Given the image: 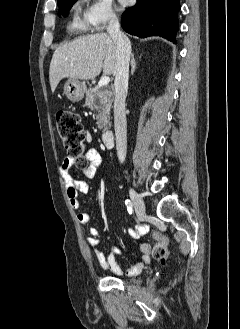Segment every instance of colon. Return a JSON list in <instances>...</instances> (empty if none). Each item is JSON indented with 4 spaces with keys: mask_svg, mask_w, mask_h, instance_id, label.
<instances>
[{
    "mask_svg": "<svg viewBox=\"0 0 240 329\" xmlns=\"http://www.w3.org/2000/svg\"><path fill=\"white\" fill-rule=\"evenodd\" d=\"M56 121L64 149L69 157L74 159L78 165L83 166L86 162L85 134L80 116L70 110L60 109L57 111ZM153 237L157 241L153 255L157 260L163 261L168 256V239L159 231H155Z\"/></svg>",
    "mask_w": 240,
    "mask_h": 329,
    "instance_id": "colon-1",
    "label": "colon"
}]
</instances>
